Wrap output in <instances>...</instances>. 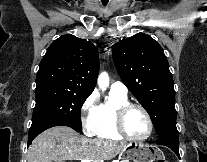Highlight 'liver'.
Wrapping results in <instances>:
<instances>
[{
  "mask_svg": "<svg viewBox=\"0 0 207 162\" xmlns=\"http://www.w3.org/2000/svg\"><path fill=\"white\" fill-rule=\"evenodd\" d=\"M126 143L79 136L67 126H56L38 135L27 152V162L64 160H111L123 152Z\"/></svg>",
  "mask_w": 207,
  "mask_h": 162,
  "instance_id": "obj_1",
  "label": "liver"
}]
</instances>
